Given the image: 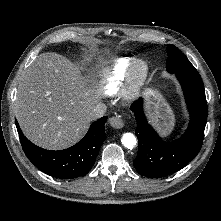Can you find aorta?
<instances>
[{
    "instance_id": "aorta-1",
    "label": "aorta",
    "mask_w": 221,
    "mask_h": 221,
    "mask_svg": "<svg viewBox=\"0 0 221 221\" xmlns=\"http://www.w3.org/2000/svg\"><path fill=\"white\" fill-rule=\"evenodd\" d=\"M121 142L128 149L133 148L137 143L136 137L132 133H124Z\"/></svg>"
}]
</instances>
